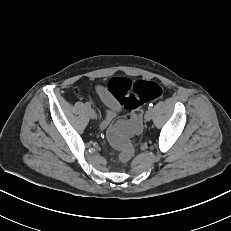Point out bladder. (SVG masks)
I'll use <instances>...</instances> for the list:
<instances>
[{
  "mask_svg": "<svg viewBox=\"0 0 231 231\" xmlns=\"http://www.w3.org/2000/svg\"><path fill=\"white\" fill-rule=\"evenodd\" d=\"M113 120L114 118L110 115L102 116L99 122L101 129H106L107 127H109L112 124Z\"/></svg>",
  "mask_w": 231,
  "mask_h": 231,
  "instance_id": "31cf9c89",
  "label": "bladder"
}]
</instances>
